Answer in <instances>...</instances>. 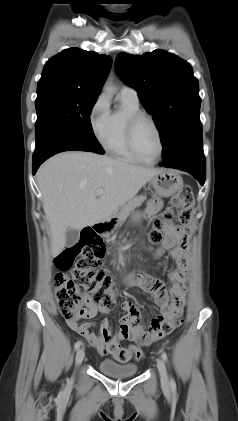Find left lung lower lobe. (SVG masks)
Here are the masks:
<instances>
[{"label": "left lung lower lobe", "instance_id": "0a47b994", "mask_svg": "<svg viewBox=\"0 0 238 421\" xmlns=\"http://www.w3.org/2000/svg\"><path fill=\"white\" fill-rule=\"evenodd\" d=\"M162 166L191 173L201 185L205 182L206 163L203 153L202 132L195 133L163 160Z\"/></svg>", "mask_w": 238, "mask_h": 421}]
</instances>
